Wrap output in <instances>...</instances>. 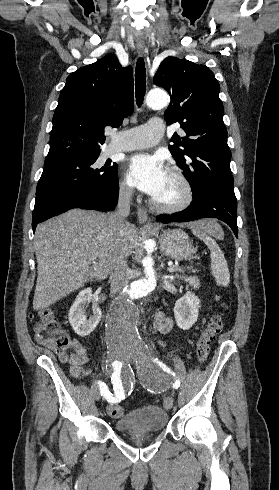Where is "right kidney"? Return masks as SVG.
I'll use <instances>...</instances> for the list:
<instances>
[{
    "label": "right kidney",
    "mask_w": 279,
    "mask_h": 490,
    "mask_svg": "<svg viewBox=\"0 0 279 490\" xmlns=\"http://www.w3.org/2000/svg\"><path fill=\"white\" fill-rule=\"evenodd\" d=\"M92 290L91 288H85V290H81L78 296H76V300L74 304H72L69 310V322L76 334L78 336H89L93 330H95L96 326H98L102 312L100 308H98L97 304H93L92 314L93 316H87L85 312V306L92 302Z\"/></svg>",
    "instance_id": "right-kidney-1"
}]
</instances>
